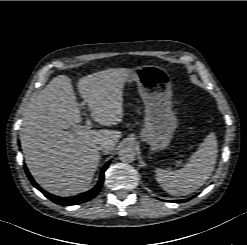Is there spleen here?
Wrapping results in <instances>:
<instances>
[{
	"label": "spleen",
	"mask_w": 247,
	"mask_h": 245,
	"mask_svg": "<svg viewBox=\"0 0 247 245\" xmlns=\"http://www.w3.org/2000/svg\"><path fill=\"white\" fill-rule=\"evenodd\" d=\"M217 140L212 132L199 145L188 163L179 170L156 169V180L169 194L184 196L190 194L210 178L217 160Z\"/></svg>",
	"instance_id": "obj_1"
}]
</instances>
